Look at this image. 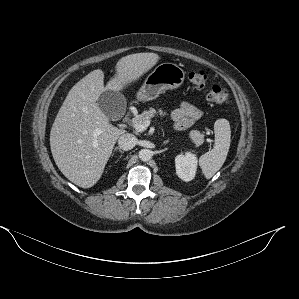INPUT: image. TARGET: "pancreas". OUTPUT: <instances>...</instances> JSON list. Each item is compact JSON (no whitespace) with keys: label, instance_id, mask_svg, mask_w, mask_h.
Here are the masks:
<instances>
[{"label":"pancreas","instance_id":"pancreas-1","mask_svg":"<svg viewBox=\"0 0 299 299\" xmlns=\"http://www.w3.org/2000/svg\"><path fill=\"white\" fill-rule=\"evenodd\" d=\"M158 113L161 116L167 115V112L163 111L162 109H159L158 111H156L154 108H149L148 110L144 111L140 115L134 117L132 119V123L133 124H142L143 122H145L147 120L150 121ZM189 137H190L191 141L195 144L196 147H198L204 143V135L197 130L190 131Z\"/></svg>","mask_w":299,"mask_h":299}]
</instances>
